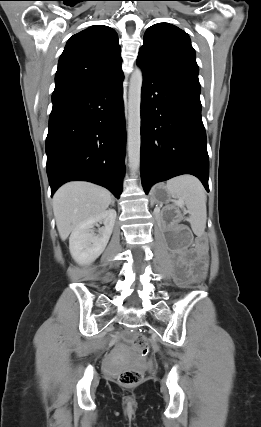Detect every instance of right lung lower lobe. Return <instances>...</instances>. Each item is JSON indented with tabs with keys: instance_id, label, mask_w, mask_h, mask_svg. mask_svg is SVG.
Here are the masks:
<instances>
[{
	"instance_id": "obj_1",
	"label": "right lung lower lobe",
	"mask_w": 261,
	"mask_h": 427,
	"mask_svg": "<svg viewBox=\"0 0 261 427\" xmlns=\"http://www.w3.org/2000/svg\"><path fill=\"white\" fill-rule=\"evenodd\" d=\"M123 74L53 102L46 138L51 196L63 183L90 181L117 198L125 172Z\"/></svg>"
}]
</instances>
